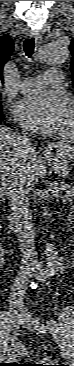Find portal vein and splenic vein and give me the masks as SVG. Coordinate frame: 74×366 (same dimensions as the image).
I'll use <instances>...</instances> for the list:
<instances>
[{"label":"portal vein and splenic vein","instance_id":"1","mask_svg":"<svg viewBox=\"0 0 74 366\" xmlns=\"http://www.w3.org/2000/svg\"><path fill=\"white\" fill-rule=\"evenodd\" d=\"M53 192H54L53 195L55 197H59V194L61 193V191H58V190H54Z\"/></svg>","mask_w":74,"mask_h":366}]
</instances>
